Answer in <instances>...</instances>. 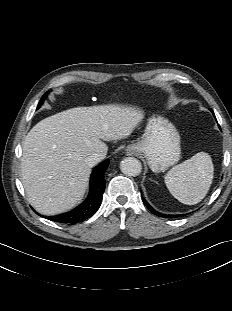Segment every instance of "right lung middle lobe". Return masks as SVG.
<instances>
[{
    "label": "right lung middle lobe",
    "instance_id": "obj_1",
    "mask_svg": "<svg viewBox=\"0 0 232 311\" xmlns=\"http://www.w3.org/2000/svg\"><path fill=\"white\" fill-rule=\"evenodd\" d=\"M48 93H49V92H46V93L43 95L42 99L40 100V102H39V104H38V108L43 104V101H44L45 97L48 95Z\"/></svg>",
    "mask_w": 232,
    "mask_h": 311
}]
</instances>
